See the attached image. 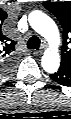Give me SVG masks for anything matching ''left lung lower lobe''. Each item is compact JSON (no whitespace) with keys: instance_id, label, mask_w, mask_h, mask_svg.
Segmentation results:
<instances>
[{"instance_id":"obj_1","label":"left lung lower lobe","mask_w":71,"mask_h":119,"mask_svg":"<svg viewBox=\"0 0 71 119\" xmlns=\"http://www.w3.org/2000/svg\"><path fill=\"white\" fill-rule=\"evenodd\" d=\"M58 84L63 86H71V68L60 67L59 70L50 75Z\"/></svg>"}]
</instances>
